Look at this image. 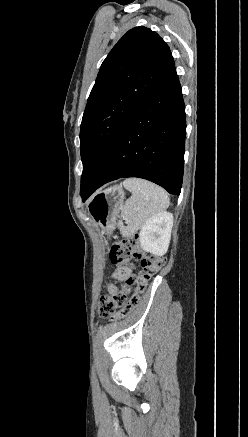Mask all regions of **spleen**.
I'll list each match as a JSON object with an SVG mask.
<instances>
[{
    "mask_svg": "<svg viewBox=\"0 0 248 437\" xmlns=\"http://www.w3.org/2000/svg\"><path fill=\"white\" fill-rule=\"evenodd\" d=\"M123 186L132 196L126 200L121 210V218L127 226L123 225L122 220L117 225L123 237H130L148 219L168 208L169 196L160 186L139 178H128Z\"/></svg>",
    "mask_w": 248,
    "mask_h": 437,
    "instance_id": "obj_1",
    "label": "spleen"
}]
</instances>
